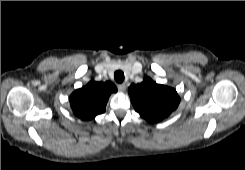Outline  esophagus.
I'll use <instances>...</instances> for the list:
<instances>
[{"label": "esophagus", "mask_w": 245, "mask_h": 170, "mask_svg": "<svg viewBox=\"0 0 245 170\" xmlns=\"http://www.w3.org/2000/svg\"><path fill=\"white\" fill-rule=\"evenodd\" d=\"M117 87H118V89H119L121 92L125 91V89H126V85H125L124 83L118 84Z\"/></svg>", "instance_id": "34e87169"}]
</instances>
